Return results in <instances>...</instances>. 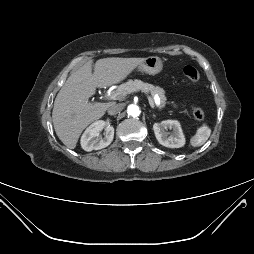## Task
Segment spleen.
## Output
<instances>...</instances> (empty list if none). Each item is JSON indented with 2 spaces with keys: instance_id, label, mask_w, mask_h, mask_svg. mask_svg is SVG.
I'll return each instance as SVG.
<instances>
[{
  "instance_id": "1",
  "label": "spleen",
  "mask_w": 254,
  "mask_h": 254,
  "mask_svg": "<svg viewBox=\"0 0 254 254\" xmlns=\"http://www.w3.org/2000/svg\"><path fill=\"white\" fill-rule=\"evenodd\" d=\"M210 135L211 129L206 124H203L197 129L196 134L190 139V144L193 147H200L208 140Z\"/></svg>"
}]
</instances>
